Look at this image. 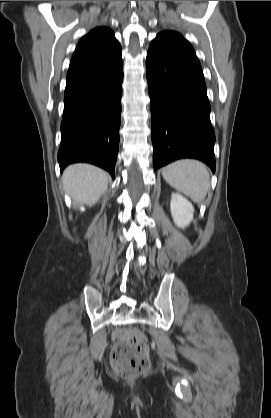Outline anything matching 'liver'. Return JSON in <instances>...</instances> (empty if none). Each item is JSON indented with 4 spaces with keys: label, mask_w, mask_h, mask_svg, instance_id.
Instances as JSON below:
<instances>
[{
    "label": "liver",
    "mask_w": 271,
    "mask_h": 418,
    "mask_svg": "<svg viewBox=\"0 0 271 418\" xmlns=\"http://www.w3.org/2000/svg\"><path fill=\"white\" fill-rule=\"evenodd\" d=\"M109 175L90 164H73L62 175L64 190L74 202L93 205L106 192Z\"/></svg>",
    "instance_id": "6515ba94"
}]
</instances>
